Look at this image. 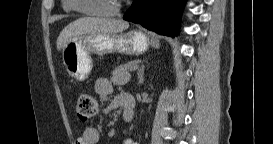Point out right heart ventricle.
<instances>
[{
    "instance_id": "1",
    "label": "right heart ventricle",
    "mask_w": 273,
    "mask_h": 144,
    "mask_svg": "<svg viewBox=\"0 0 273 144\" xmlns=\"http://www.w3.org/2000/svg\"><path fill=\"white\" fill-rule=\"evenodd\" d=\"M62 6H63V9L65 12H72V10H74L72 8V4H71V0H64L63 3H62Z\"/></svg>"
}]
</instances>
